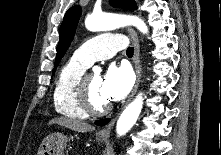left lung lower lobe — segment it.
Instances as JSON below:
<instances>
[{
    "instance_id": "obj_1",
    "label": "left lung lower lobe",
    "mask_w": 221,
    "mask_h": 155,
    "mask_svg": "<svg viewBox=\"0 0 221 155\" xmlns=\"http://www.w3.org/2000/svg\"><path fill=\"white\" fill-rule=\"evenodd\" d=\"M109 121H110V119H101V120L95 121V124L99 125V126H103V125L107 124Z\"/></svg>"
}]
</instances>
